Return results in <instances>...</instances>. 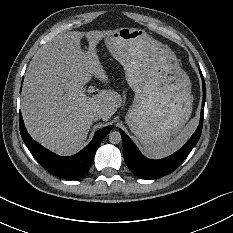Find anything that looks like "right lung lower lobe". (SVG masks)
<instances>
[{
  "label": "right lung lower lobe",
  "mask_w": 233,
  "mask_h": 233,
  "mask_svg": "<svg viewBox=\"0 0 233 233\" xmlns=\"http://www.w3.org/2000/svg\"><path fill=\"white\" fill-rule=\"evenodd\" d=\"M19 127L23 141L37 161L50 173L69 180L79 179L88 171L98 146L112 128V126H107L98 130L93 140L79 153L69 157H61L50 152L31 138L24 126L21 112Z\"/></svg>",
  "instance_id": "right-lung-lower-lobe-1"
}]
</instances>
